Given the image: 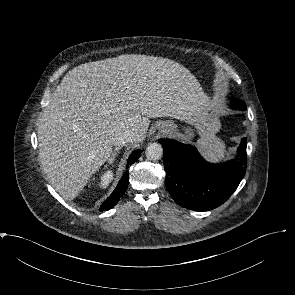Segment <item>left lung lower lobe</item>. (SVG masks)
<instances>
[{"instance_id":"0a47b994","label":"left lung lower lobe","mask_w":295,"mask_h":295,"mask_svg":"<svg viewBox=\"0 0 295 295\" xmlns=\"http://www.w3.org/2000/svg\"><path fill=\"white\" fill-rule=\"evenodd\" d=\"M238 109L239 106L231 107ZM163 145L166 171L165 185L180 206L209 211L223 204L237 189L247 164V140L238 148V159L221 164L205 161L197 149L172 139L159 141Z\"/></svg>"}]
</instances>
